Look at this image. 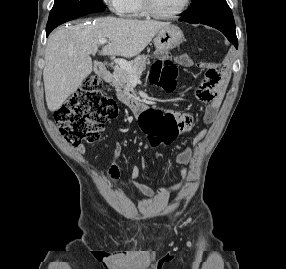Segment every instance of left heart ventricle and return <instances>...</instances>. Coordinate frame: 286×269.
<instances>
[{
    "label": "left heart ventricle",
    "instance_id": "b2bd125f",
    "mask_svg": "<svg viewBox=\"0 0 286 269\" xmlns=\"http://www.w3.org/2000/svg\"><path fill=\"white\" fill-rule=\"evenodd\" d=\"M154 9L161 14H168L181 7L184 0H151Z\"/></svg>",
    "mask_w": 286,
    "mask_h": 269
}]
</instances>
